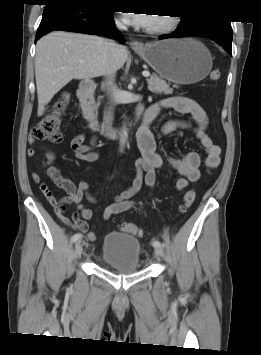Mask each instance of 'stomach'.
Segmentation results:
<instances>
[{
	"label": "stomach",
	"instance_id": "0dacf381",
	"mask_svg": "<svg viewBox=\"0 0 261 355\" xmlns=\"http://www.w3.org/2000/svg\"><path fill=\"white\" fill-rule=\"evenodd\" d=\"M136 52L161 77L177 84L199 82L212 69L211 53L193 38L147 43Z\"/></svg>",
	"mask_w": 261,
	"mask_h": 355
}]
</instances>
